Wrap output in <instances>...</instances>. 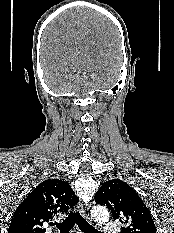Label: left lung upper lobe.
Here are the masks:
<instances>
[{
    "label": "left lung upper lobe",
    "mask_w": 174,
    "mask_h": 233,
    "mask_svg": "<svg viewBox=\"0 0 174 233\" xmlns=\"http://www.w3.org/2000/svg\"><path fill=\"white\" fill-rule=\"evenodd\" d=\"M95 202L107 206L113 219L122 224V233H156L148 208L127 183L119 179L105 182L95 194Z\"/></svg>",
    "instance_id": "1"
}]
</instances>
